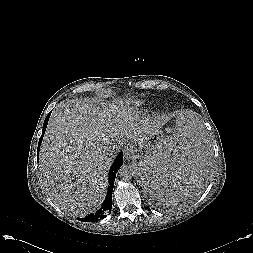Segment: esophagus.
<instances>
[{"label":"esophagus","instance_id":"1","mask_svg":"<svg viewBox=\"0 0 253 253\" xmlns=\"http://www.w3.org/2000/svg\"><path fill=\"white\" fill-rule=\"evenodd\" d=\"M135 153V147L132 144H127L124 147V157L126 160H130Z\"/></svg>","mask_w":253,"mask_h":253}]
</instances>
